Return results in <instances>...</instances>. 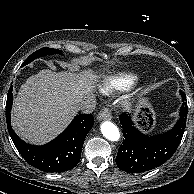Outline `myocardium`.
<instances>
[{
	"mask_svg": "<svg viewBox=\"0 0 194 194\" xmlns=\"http://www.w3.org/2000/svg\"><path fill=\"white\" fill-rule=\"evenodd\" d=\"M125 105L128 106L129 105V102H126Z\"/></svg>",
	"mask_w": 194,
	"mask_h": 194,
	"instance_id": "obj_1",
	"label": "myocardium"
}]
</instances>
